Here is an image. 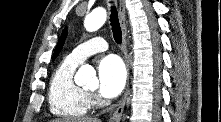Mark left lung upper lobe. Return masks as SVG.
<instances>
[{
  "label": "left lung upper lobe",
  "instance_id": "obj_1",
  "mask_svg": "<svg viewBox=\"0 0 221 122\" xmlns=\"http://www.w3.org/2000/svg\"><path fill=\"white\" fill-rule=\"evenodd\" d=\"M66 35H67V29L65 28L64 31L62 32V35L59 39V42L57 44V47L55 49V52H54V56H53V60L57 57V55L59 54L64 42H65V39H66Z\"/></svg>",
  "mask_w": 221,
  "mask_h": 122
}]
</instances>
